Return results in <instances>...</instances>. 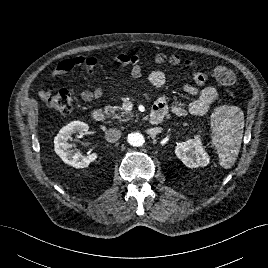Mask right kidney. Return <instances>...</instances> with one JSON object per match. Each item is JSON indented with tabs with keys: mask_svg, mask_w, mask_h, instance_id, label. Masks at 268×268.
Instances as JSON below:
<instances>
[{
	"mask_svg": "<svg viewBox=\"0 0 268 268\" xmlns=\"http://www.w3.org/2000/svg\"><path fill=\"white\" fill-rule=\"evenodd\" d=\"M88 130V124L81 121L70 122L60 129L54 139V149L64 163L79 169L87 168L91 162L97 159L98 155L96 153L89 154L88 156H84L79 152L74 153L73 150L70 149L72 145L68 143L71 135L75 133L84 135Z\"/></svg>",
	"mask_w": 268,
	"mask_h": 268,
	"instance_id": "right-kidney-1",
	"label": "right kidney"
}]
</instances>
